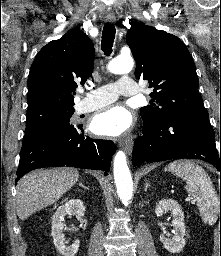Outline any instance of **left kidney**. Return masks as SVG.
Masks as SVG:
<instances>
[{"mask_svg":"<svg viewBox=\"0 0 221 256\" xmlns=\"http://www.w3.org/2000/svg\"><path fill=\"white\" fill-rule=\"evenodd\" d=\"M171 211L174 227V235L172 238H166L163 234L160 235V241L164 248L171 253H179L184 248L185 241V223L184 213L181 206L173 199H164L159 201L156 206L155 213L157 216H162L164 212Z\"/></svg>","mask_w":221,"mask_h":256,"instance_id":"obj_1","label":"left kidney"}]
</instances>
